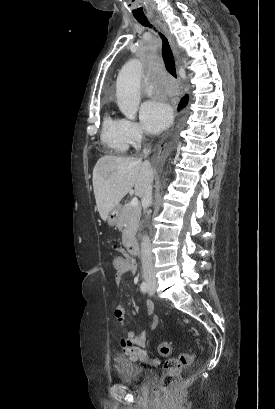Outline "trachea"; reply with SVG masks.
<instances>
[{
	"instance_id": "trachea-1",
	"label": "trachea",
	"mask_w": 275,
	"mask_h": 409,
	"mask_svg": "<svg viewBox=\"0 0 275 409\" xmlns=\"http://www.w3.org/2000/svg\"><path fill=\"white\" fill-rule=\"evenodd\" d=\"M138 22L143 25L144 27H152L147 19L138 20ZM163 45H162V56L165 62V66L167 71L176 78V69H175V61L173 57V53L171 51L170 45L167 41V38L164 35L160 34Z\"/></svg>"
}]
</instances>
